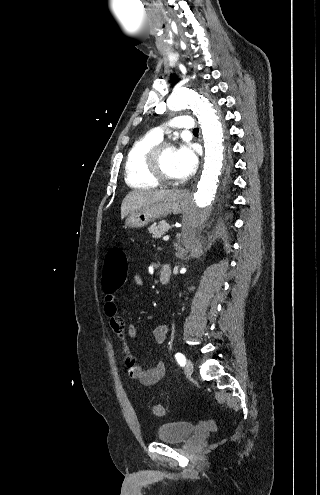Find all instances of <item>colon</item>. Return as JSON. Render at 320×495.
<instances>
[{
  "instance_id": "obj_1",
  "label": "colon",
  "mask_w": 320,
  "mask_h": 495,
  "mask_svg": "<svg viewBox=\"0 0 320 495\" xmlns=\"http://www.w3.org/2000/svg\"><path fill=\"white\" fill-rule=\"evenodd\" d=\"M128 271L126 253L119 247L111 248L105 257L103 265V288L107 292L117 290L125 281ZM152 412L156 416L164 414V407L157 403L152 406Z\"/></svg>"
}]
</instances>
